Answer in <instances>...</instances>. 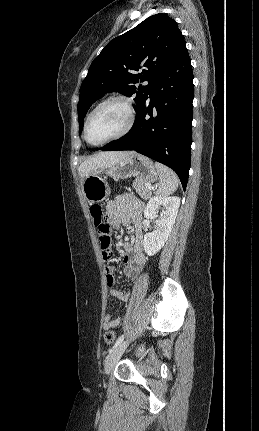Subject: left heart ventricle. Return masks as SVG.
<instances>
[{"mask_svg":"<svg viewBox=\"0 0 259 431\" xmlns=\"http://www.w3.org/2000/svg\"><path fill=\"white\" fill-rule=\"evenodd\" d=\"M127 122L125 107L117 101L102 106L93 115L88 126V137L93 143H100L119 133Z\"/></svg>","mask_w":259,"mask_h":431,"instance_id":"left-heart-ventricle-1","label":"left heart ventricle"}]
</instances>
